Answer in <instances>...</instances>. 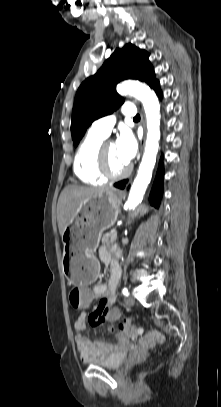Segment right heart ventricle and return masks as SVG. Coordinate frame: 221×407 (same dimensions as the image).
<instances>
[{
	"label": "right heart ventricle",
	"instance_id": "1",
	"mask_svg": "<svg viewBox=\"0 0 221 407\" xmlns=\"http://www.w3.org/2000/svg\"><path fill=\"white\" fill-rule=\"evenodd\" d=\"M105 138L90 130L76 152L74 172L84 184L97 186L106 182V179L99 173L97 165L99 148Z\"/></svg>",
	"mask_w": 221,
	"mask_h": 407
}]
</instances>
